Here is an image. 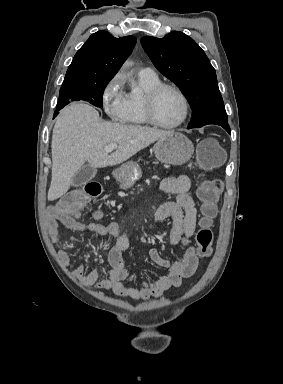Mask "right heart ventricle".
<instances>
[{"label":"right heart ventricle","instance_id":"obj_1","mask_svg":"<svg viewBox=\"0 0 283 384\" xmlns=\"http://www.w3.org/2000/svg\"><path fill=\"white\" fill-rule=\"evenodd\" d=\"M138 83L143 87L144 92L141 96H134L133 94L126 95L125 99V116L124 123L131 127H145L147 121L145 120L142 99L144 94L154 86L160 84V80L148 79L141 75H138Z\"/></svg>","mask_w":283,"mask_h":384}]
</instances>
